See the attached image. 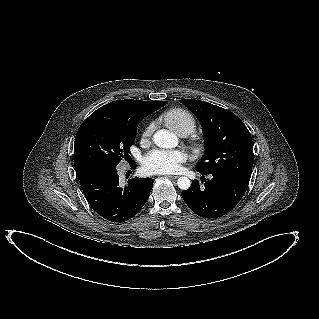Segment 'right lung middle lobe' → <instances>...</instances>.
I'll list each match as a JSON object with an SVG mask.
<instances>
[{"label": "right lung middle lobe", "instance_id": "obj_1", "mask_svg": "<svg viewBox=\"0 0 319 319\" xmlns=\"http://www.w3.org/2000/svg\"><path fill=\"white\" fill-rule=\"evenodd\" d=\"M136 128L118 119L85 120L74 142V165L77 175L95 169L114 168L130 153Z\"/></svg>", "mask_w": 319, "mask_h": 319}]
</instances>
